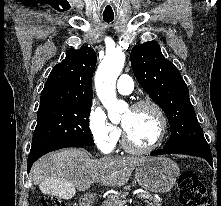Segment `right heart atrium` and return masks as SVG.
I'll list each match as a JSON object with an SVG mask.
<instances>
[{
  "label": "right heart atrium",
  "mask_w": 221,
  "mask_h": 206,
  "mask_svg": "<svg viewBox=\"0 0 221 206\" xmlns=\"http://www.w3.org/2000/svg\"><path fill=\"white\" fill-rule=\"evenodd\" d=\"M88 127L96 146L102 153L109 154L116 148L121 132L109 122L105 112L95 104L89 111Z\"/></svg>",
  "instance_id": "obj_1"
}]
</instances>
